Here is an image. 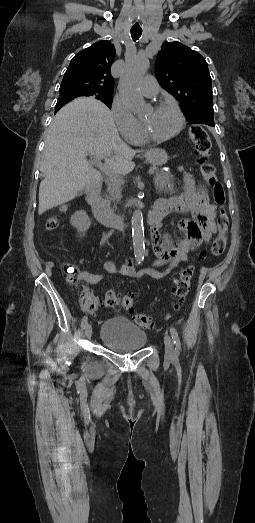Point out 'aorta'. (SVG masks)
Instances as JSON below:
<instances>
[{
    "label": "aorta",
    "mask_w": 255,
    "mask_h": 523,
    "mask_svg": "<svg viewBox=\"0 0 255 523\" xmlns=\"http://www.w3.org/2000/svg\"><path fill=\"white\" fill-rule=\"evenodd\" d=\"M149 68L146 58L137 57L129 61L119 82V92L126 106L135 114L145 111L146 104L139 91V82ZM132 241L135 259L140 261L145 256L143 214L140 208L133 212L132 219Z\"/></svg>",
    "instance_id": "1"
}]
</instances>
